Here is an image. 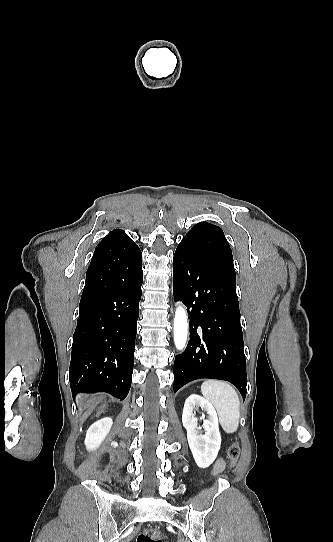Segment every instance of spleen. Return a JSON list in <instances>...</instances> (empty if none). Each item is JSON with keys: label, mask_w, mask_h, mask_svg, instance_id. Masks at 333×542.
<instances>
[{"label": "spleen", "mask_w": 333, "mask_h": 542, "mask_svg": "<svg viewBox=\"0 0 333 542\" xmlns=\"http://www.w3.org/2000/svg\"><path fill=\"white\" fill-rule=\"evenodd\" d=\"M201 392L217 410L219 424L227 434L237 432L240 420L239 396L227 382L206 380L201 386Z\"/></svg>", "instance_id": "1"}]
</instances>
